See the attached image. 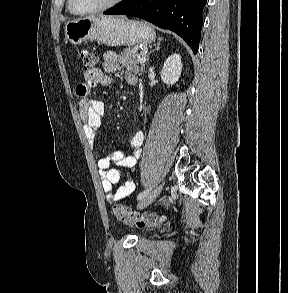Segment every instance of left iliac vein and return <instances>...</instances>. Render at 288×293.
Here are the masks:
<instances>
[{
	"label": "left iliac vein",
	"mask_w": 288,
	"mask_h": 293,
	"mask_svg": "<svg viewBox=\"0 0 288 293\" xmlns=\"http://www.w3.org/2000/svg\"><path fill=\"white\" fill-rule=\"evenodd\" d=\"M163 187H164V183L160 184L152 192H150L148 195L142 198L141 201L138 203V209H142L148 206L150 203H152L161 193Z\"/></svg>",
	"instance_id": "left-iliac-vein-1"
}]
</instances>
